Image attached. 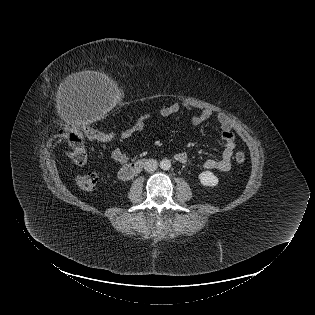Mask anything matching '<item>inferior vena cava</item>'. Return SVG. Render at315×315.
<instances>
[{"instance_id":"obj_1","label":"inferior vena cava","mask_w":315,"mask_h":315,"mask_svg":"<svg viewBox=\"0 0 315 315\" xmlns=\"http://www.w3.org/2000/svg\"><path fill=\"white\" fill-rule=\"evenodd\" d=\"M158 168V163L154 159H147L144 163V169L147 172L155 171Z\"/></svg>"}]
</instances>
